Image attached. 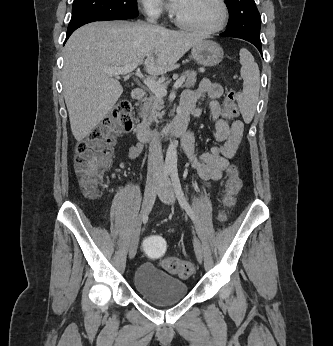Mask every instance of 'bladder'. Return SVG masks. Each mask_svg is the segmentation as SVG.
<instances>
[{
	"instance_id": "31cf9c89",
	"label": "bladder",
	"mask_w": 333,
	"mask_h": 346,
	"mask_svg": "<svg viewBox=\"0 0 333 346\" xmlns=\"http://www.w3.org/2000/svg\"><path fill=\"white\" fill-rule=\"evenodd\" d=\"M136 291L146 300L157 305L181 301L188 293V285L151 263L141 264L133 277Z\"/></svg>"
}]
</instances>
